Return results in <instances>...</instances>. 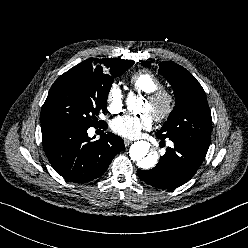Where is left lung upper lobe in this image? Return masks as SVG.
Listing matches in <instances>:
<instances>
[{"label": "left lung upper lobe", "mask_w": 248, "mask_h": 248, "mask_svg": "<svg viewBox=\"0 0 248 248\" xmlns=\"http://www.w3.org/2000/svg\"><path fill=\"white\" fill-rule=\"evenodd\" d=\"M142 64L150 67L149 61ZM163 75L176 93V104L168 120L156 133L161 138L184 142L208 150L212 118L206 94L200 83L182 66L164 61L159 64Z\"/></svg>", "instance_id": "left-lung-upper-lobe-1"}]
</instances>
